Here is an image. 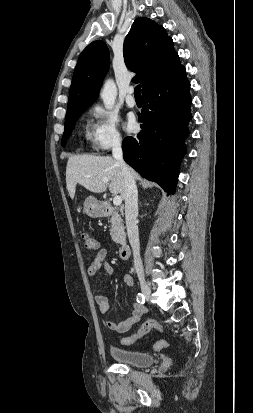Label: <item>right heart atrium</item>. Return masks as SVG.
<instances>
[{
    "label": "right heart atrium",
    "mask_w": 253,
    "mask_h": 413,
    "mask_svg": "<svg viewBox=\"0 0 253 413\" xmlns=\"http://www.w3.org/2000/svg\"><path fill=\"white\" fill-rule=\"evenodd\" d=\"M91 114L92 123L91 140L93 147L99 151H108L122 143L117 116L110 110L96 106Z\"/></svg>",
    "instance_id": "1"
}]
</instances>
